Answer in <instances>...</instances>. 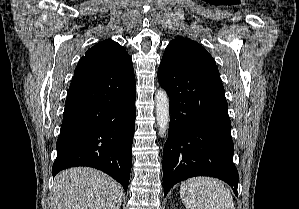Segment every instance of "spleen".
<instances>
[{
	"mask_svg": "<svg viewBox=\"0 0 299 209\" xmlns=\"http://www.w3.org/2000/svg\"><path fill=\"white\" fill-rule=\"evenodd\" d=\"M180 196L186 209H235L230 190L215 178L196 177L182 182Z\"/></svg>",
	"mask_w": 299,
	"mask_h": 209,
	"instance_id": "obj_1",
	"label": "spleen"
}]
</instances>
